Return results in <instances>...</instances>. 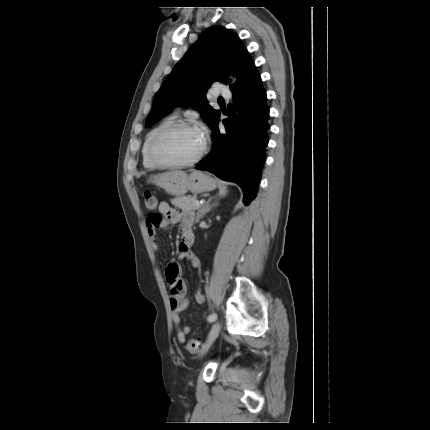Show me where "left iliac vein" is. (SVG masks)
I'll return each mask as SVG.
<instances>
[{"mask_svg":"<svg viewBox=\"0 0 430 430\" xmlns=\"http://www.w3.org/2000/svg\"><path fill=\"white\" fill-rule=\"evenodd\" d=\"M220 329H221V326H220V324L218 322L213 325V327H212V329H211V331H210V333L208 335L207 341H206L205 345L202 348V351H201L202 355L205 354L208 351V349L210 348V346L212 345V343L218 337Z\"/></svg>","mask_w":430,"mask_h":430,"instance_id":"4c4485c4","label":"left iliac vein"}]
</instances>
